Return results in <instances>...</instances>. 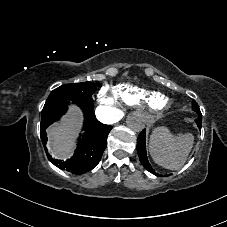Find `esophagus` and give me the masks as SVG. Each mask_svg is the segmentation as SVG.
<instances>
[{
  "label": "esophagus",
  "instance_id": "1",
  "mask_svg": "<svg viewBox=\"0 0 227 227\" xmlns=\"http://www.w3.org/2000/svg\"><path fill=\"white\" fill-rule=\"evenodd\" d=\"M142 123H143L144 126L149 127V126L152 125L153 120L149 115H144L142 117Z\"/></svg>",
  "mask_w": 227,
  "mask_h": 227
}]
</instances>
